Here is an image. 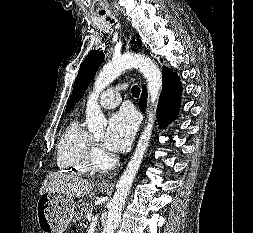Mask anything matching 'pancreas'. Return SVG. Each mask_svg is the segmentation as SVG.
<instances>
[{
	"instance_id": "pancreas-1",
	"label": "pancreas",
	"mask_w": 253,
	"mask_h": 233,
	"mask_svg": "<svg viewBox=\"0 0 253 233\" xmlns=\"http://www.w3.org/2000/svg\"><path fill=\"white\" fill-rule=\"evenodd\" d=\"M91 212H92V209H91L90 204L81 203L79 205V210L77 211V213L75 215L74 221L85 222L87 214H89Z\"/></svg>"
}]
</instances>
